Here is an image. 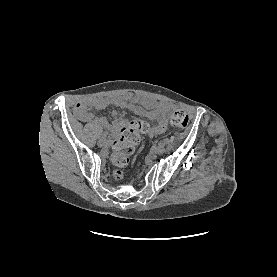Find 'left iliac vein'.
<instances>
[{
	"instance_id": "obj_1",
	"label": "left iliac vein",
	"mask_w": 277,
	"mask_h": 277,
	"mask_svg": "<svg viewBox=\"0 0 277 277\" xmlns=\"http://www.w3.org/2000/svg\"><path fill=\"white\" fill-rule=\"evenodd\" d=\"M164 151H165V147H164V145H161V144H159L158 146H156V147L154 148V153H155V154H158V155L163 154Z\"/></svg>"
}]
</instances>
